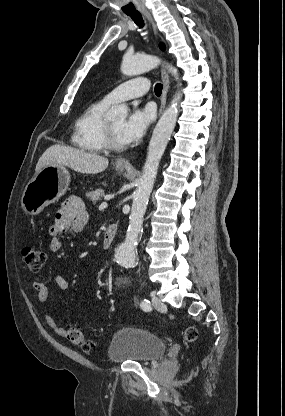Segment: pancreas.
I'll return each instance as SVG.
<instances>
[{
    "label": "pancreas",
    "mask_w": 285,
    "mask_h": 416,
    "mask_svg": "<svg viewBox=\"0 0 285 416\" xmlns=\"http://www.w3.org/2000/svg\"><path fill=\"white\" fill-rule=\"evenodd\" d=\"M104 190H95V192H87L86 198H89L93 204H97L98 200L104 198Z\"/></svg>",
    "instance_id": "cf45deb5"
}]
</instances>
